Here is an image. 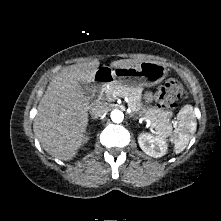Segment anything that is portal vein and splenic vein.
<instances>
[{
	"mask_svg": "<svg viewBox=\"0 0 221 221\" xmlns=\"http://www.w3.org/2000/svg\"><path fill=\"white\" fill-rule=\"evenodd\" d=\"M147 124H148V125H150V124H151L150 120H147ZM175 124H176V122H175Z\"/></svg>",
	"mask_w": 221,
	"mask_h": 221,
	"instance_id": "18ae733b",
	"label": "portal vein and splenic vein"
}]
</instances>
